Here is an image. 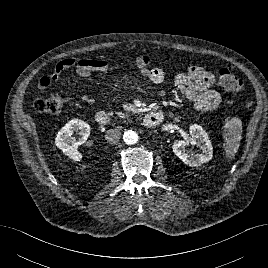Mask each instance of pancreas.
I'll return each instance as SVG.
<instances>
[{"label":"pancreas","instance_id":"obj_1","mask_svg":"<svg viewBox=\"0 0 268 268\" xmlns=\"http://www.w3.org/2000/svg\"><path fill=\"white\" fill-rule=\"evenodd\" d=\"M110 114H113V112H110ZM116 114H117L118 117H120V118H125V117H127V115H125L124 113L116 112Z\"/></svg>","mask_w":268,"mask_h":268}]
</instances>
